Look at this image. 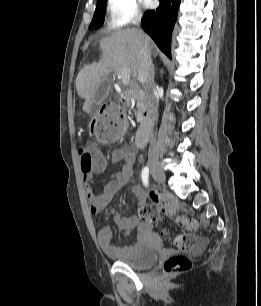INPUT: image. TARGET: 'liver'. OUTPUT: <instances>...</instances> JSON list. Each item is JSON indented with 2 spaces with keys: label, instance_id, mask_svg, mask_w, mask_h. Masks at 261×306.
I'll return each mask as SVG.
<instances>
[{
  "label": "liver",
  "instance_id": "obj_1",
  "mask_svg": "<svg viewBox=\"0 0 261 306\" xmlns=\"http://www.w3.org/2000/svg\"><path fill=\"white\" fill-rule=\"evenodd\" d=\"M143 46L152 48V41L146 33L135 28L118 31L100 41L101 60L85 65L76 79L77 93L85 100L84 112L92 111L94 92L111 72L118 74L123 68H130L132 77L138 76V54Z\"/></svg>",
  "mask_w": 261,
  "mask_h": 306
}]
</instances>
